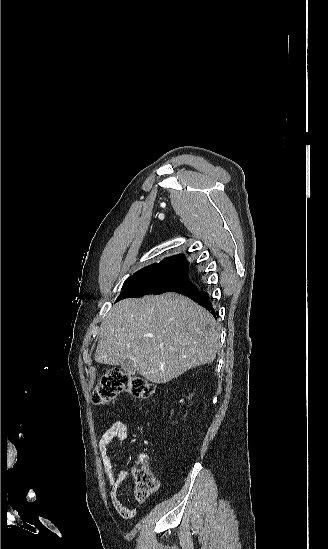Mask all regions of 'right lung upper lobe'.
Instances as JSON below:
<instances>
[{
	"instance_id": "1",
	"label": "right lung upper lobe",
	"mask_w": 328,
	"mask_h": 549,
	"mask_svg": "<svg viewBox=\"0 0 328 549\" xmlns=\"http://www.w3.org/2000/svg\"><path fill=\"white\" fill-rule=\"evenodd\" d=\"M188 266H189V263L186 261L184 255L178 254L171 257H167L160 263L152 264L141 270L174 271V272H181V273L188 274Z\"/></svg>"
}]
</instances>
